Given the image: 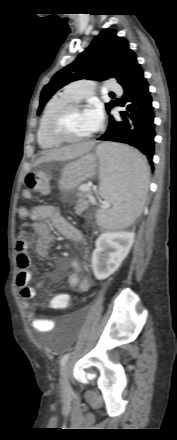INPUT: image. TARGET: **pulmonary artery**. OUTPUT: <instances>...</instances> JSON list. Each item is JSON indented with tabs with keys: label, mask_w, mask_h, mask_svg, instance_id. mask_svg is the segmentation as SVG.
I'll return each mask as SVG.
<instances>
[{
	"label": "pulmonary artery",
	"mask_w": 177,
	"mask_h": 440,
	"mask_svg": "<svg viewBox=\"0 0 177 440\" xmlns=\"http://www.w3.org/2000/svg\"><path fill=\"white\" fill-rule=\"evenodd\" d=\"M107 89L118 94L122 92L120 85L112 80L107 82ZM67 91L75 100H82L93 94L94 83L89 80H81L71 84Z\"/></svg>",
	"instance_id": "obj_1"
}]
</instances>
